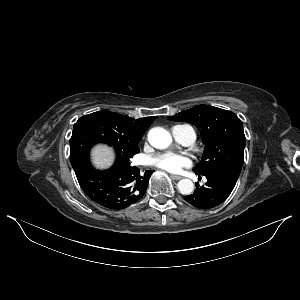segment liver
<instances>
[{
    "label": "liver",
    "instance_id": "liver-1",
    "mask_svg": "<svg viewBox=\"0 0 300 300\" xmlns=\"http://www.w3.org/2000/svg\"><path fill=\"white\" fill-rule=\"evenodd\" d=\"M91 160L96 168L105 169L113 163V151L106 146H97L92 151Z\"/></svg>",
    "mask_w": 300,
    "mask_h": 300
}]
</instances>
